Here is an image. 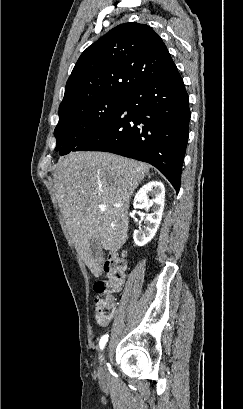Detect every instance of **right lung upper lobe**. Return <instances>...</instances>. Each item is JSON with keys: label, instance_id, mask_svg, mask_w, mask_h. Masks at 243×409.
<instances>
[{"label": "right lung upper lobe", "instance_id": "1", "mask_svg": "<svg viewBox=\"0 0 243 409\" xmlns=\"http://www.w3.org/2000/svg\"><path fill=\"white\" fill-rule=\"evenodd\" d=\"M176 70L167 47L150 26L120 24L81 54L59 109L99 97H125Z\"/></svg>", "mask_w": 243, "mask_h": 409}]
</instances>
